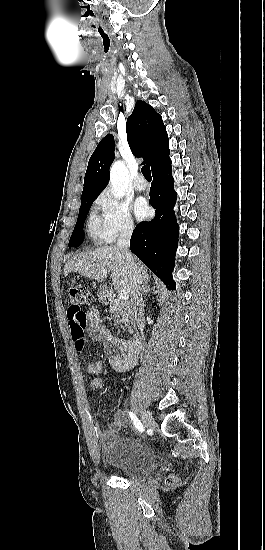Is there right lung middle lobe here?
I'll return each mask as SVG.
<instances>
[{
    "mask_svg": "<svg viewBox=\"0 0 265 550\" xmlns=\"http://www.w3.org/2000/svg\"><path fill=\"white\" fill-rule=\"evenodd\" d=\"M96 198H85L81 199V207L79 209V215L77 223L75 225L74 231L69 241V248L78 247L83 241V224L86 219V215Z\"/></svg>",
    "mask_w": 265,
    "mask_h": 550,
    "instance_id": "right-lung-middle-lobe-1",
    "label": "right lung middle lobe"
}]
</instances>
